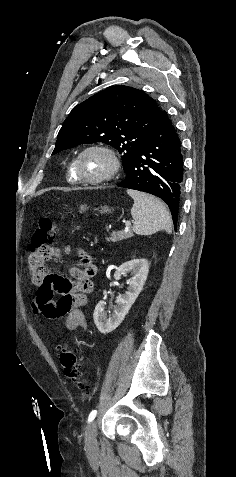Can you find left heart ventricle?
Wrapping results in <instances>:
<instances>
[{"label":"left heart ventricle","instance_id":"b2bd125f","mask_svg":"<svg viewBox=\"0 0 236 477\" xmlns=\"http://www.w3.org/2000/svg\"><path fill=\"white\" fill-rule=\"evenodd\" d=\"M110 167L109 160L99 152H89L80 162V171L83 176L96 178L104 175Z\"/></svg>","mask_w":236,"mask_h":477}]
</instances>
